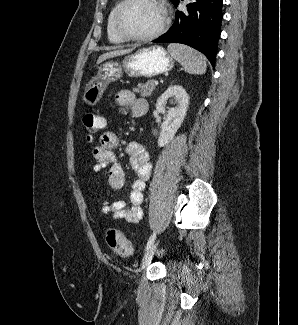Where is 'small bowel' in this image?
Returning a JSON list of instances; mask_svg holds the SVG:
<instances>
[{"instance_id": "small-bowel-1", "label": "small bowel", "mask_w": 298, "mask_h": 325, "mask_svg": "<svg viewBox=\"0 0 298 325\" xmlns=\"http://www.w3.org/2000/svg\"><path fill=\"white\" fill-rule=\"evenodd\" d=\"M116 101L122 108H130L135 114L138 104L146 103L142 99H136L129 90H122L117 93ZM117 135L111 131H106L100 136V144L93 149L95 165L93 171L99 173L108 168V180L111 188L121 190L124 186V172L118 163L117 157L113 152L117 146ZM126 154L129 158L131 167L135 173V179L131 183L128 194L129 205L122 200L110 203L103 201L101 211L104 214L111 213L115 220H126L130 223L138 222L143 215L142 202L143 191L146 182L150 178L152 165L146 149L139 142H130L126 147Z\"/></svg>"}]
</instances>
